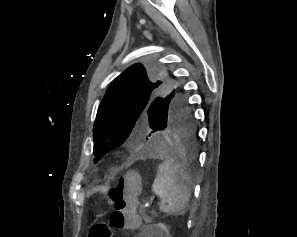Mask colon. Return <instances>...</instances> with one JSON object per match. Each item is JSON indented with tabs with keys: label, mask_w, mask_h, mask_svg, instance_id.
<instances>
[{
	"label": "colon",
	"mask_w": 297,
	"mask_h": 237,
	"mask_svg": "<svg viewBox=\"0 0 297 237\" xmlns=\"http://www.w3.org/2000/svg\"><path fill=\"white\" fill-rule=\"evenodd\" d=\"M139 178L135 173L124 176L108 190V201L113 207L108 222L94 224L89 237H110L113 230H134L141 224L137 214Z\"/></svg>",
	"instance_id": "colon-1"
}]
</instances>
